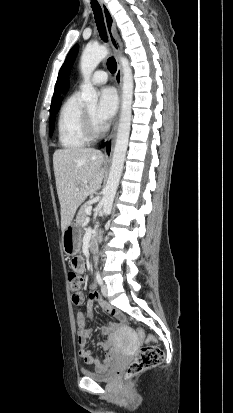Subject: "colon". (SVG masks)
Segmentation results:
<instances>
[{
  "label": "colon",
  "mask_w": 233,
  "mask_h": 413,
  "mask_svg": "<svg viewBox=\"0 0 233 413\" xmlns=\"http://www.w3.org/2000/svg\"><path fill=\"white\" fill-rule=\"evenodd\" d=\"M68 282L70 290L73 294L79 292L83 285V278L77 276L75 273H68ZM140 335L142 332L140 331ZM148 340L151 341L152 337H148ZM164 359L163 350L155 344H146L140 348L138 353L135 356V359L129 364L126 369V377L135 376L147 369L156 367L161 364Z\"/></svg>",
  "instance_id": "colon-1"
}]
</instances>
